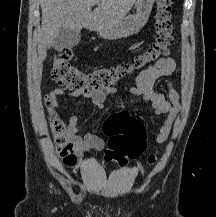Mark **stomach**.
Listing matches in <instances>:
<instances>
[{
	"mask_svg": "<svg viewBox=\"0 0 216 217\" xmlns=\"http://www.w3.org/2000/svg\"><path fill=\"white\" fill-rule=\"evenodd\" d=\"M155 0H136V13L124 18L119 24L98 30L103 38L116 39L137 34L147 23Z\"/></svg>",
	"mask_w": 216,
	"mask_h": 217,
	"instance_id": "1",
	"label": "stomach"
}]
</instances>
